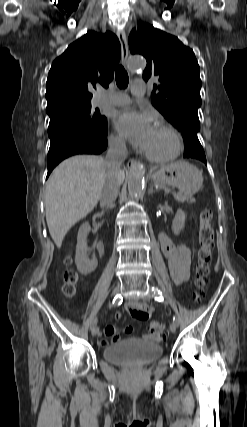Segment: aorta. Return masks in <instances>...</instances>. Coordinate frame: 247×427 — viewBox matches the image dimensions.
I'll return each instance as SVG.
<instances>
[{"mask_svg":"<svg viewBox=\"0 0 247 427\" xmlns=\"http://www.w3.org/2000/svg\"><path fill=\"white\" fill-rule=\"evenodd\" d=\"M128 68L136 72L146 66V61L141 56H133L128 59ZM128 191L132 199L142 197L144 194V167L141 163L133 165L128 175Z\"/></svg>","mask_w":247,"mask_h":427,"instance_id":"1","label":"aorta"}]
</instances>
